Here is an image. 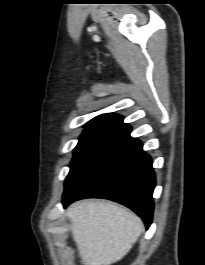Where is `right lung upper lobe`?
I'll use <instances>...</instances> for the list:
<instances>
[{
    "label": "right lung upper lobe",
    "mask_w": 205,
    "mask_h": 265,
    "mask_svg": "<svg viewBox=\"0 0 205 265\" xmlns=\"http://www.w3.org/2000/svg\"><path fill=\"white\" fill-rule=\"evenodd\" d=\"M103 126H124V127H129L128 124H125L123 122V117L109 113V114H102L99 115L92 120H90L85 128H93V127H103Z\"/></svg>",
    "instance_id": "cb5924a9"
}]
</instances>
